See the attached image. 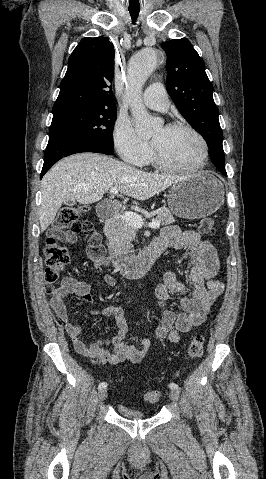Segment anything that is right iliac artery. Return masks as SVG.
I'll return each mask as SVG.
<instances>
[{
    "mask_svg": "<svg viewBox=\"0 0 266 479\" xmlns=\"http://www.w3.org/2000/svg\"><path fill=\"white\" fill-rule=\"evenodd\" d=\"M107 387V383L106 382H101L98 386V389H104Z\"/></svg>",
    "mask_w": 266,
    "mask_h": 479,
    "instance_id": "1",
    "label": "right iliac artery"
}]
</instances>
